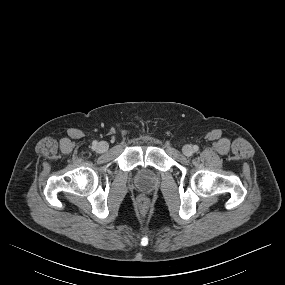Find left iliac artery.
<instances>
[{
	"instance_id": "left-iliac-artery-1",
	"label": "left iliac artery",
	"mask_w": 285,
	"mask_h": 285,
	"mask_svg": "<svg viewBox=\"0 0 285 285\" xmlns=\"http://www.w3.org/2000/svg\"><path fill=\"white\" fill-rule=\"evenodd\" d=\"M193 149H194V151H198V150H199V147H198L197 145H194V146H193Z\"/></svg>"
}]
</instances>
